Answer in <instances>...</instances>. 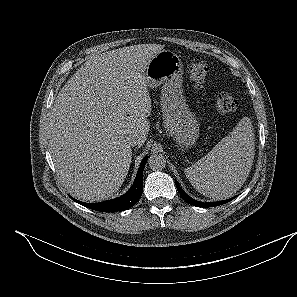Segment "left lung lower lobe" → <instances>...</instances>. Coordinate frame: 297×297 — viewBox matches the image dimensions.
Segmentation results:
<instances>
[{
  "mask_svg": "<svg viewBox=\"0 0 297 297\" xmlns=\"http://www.w3.org/2000/svg\"><path fill=\"white\" fill-rule=\"evenodd\" d=\"M175 184H176V187H177V190L178 192L180 193V195L182 196V198L189 204L191 205H194V206H198V207H214V206H219V205H222V204H225L229 201H231L232 199H234L235 197L233 198H230L228 200H224V201H219V202H210V203H204V202H200V201H197L195 199H192L190 196H188L184 191L183 189L179 186L178 182L175 180Z\"/></svg>",
  "mask_w": 297,
  "mask_h": 297,
  "instance_id": "0a47b994",
  "label": "left lung lower lobe"
}]
</instances>
